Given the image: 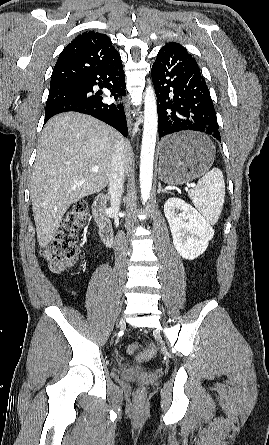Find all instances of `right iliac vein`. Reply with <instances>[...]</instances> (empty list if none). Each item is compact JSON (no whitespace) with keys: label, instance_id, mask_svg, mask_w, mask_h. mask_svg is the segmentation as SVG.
<instances>
[{"label":"right iliac vein","instance_id":"obj_1","mask_svg":"<svg viewBox=\"0 0 269 445\" xmlns=\"http://www.w3.org/2000/svg\"><path fill=\"white\" fill-rule=\"evenodd\" d=\"M119 324H120V325L124 324V319H121V320L119 321Z\"/></svg>","mask_w":269,"mask_h":445}]
</instances>
